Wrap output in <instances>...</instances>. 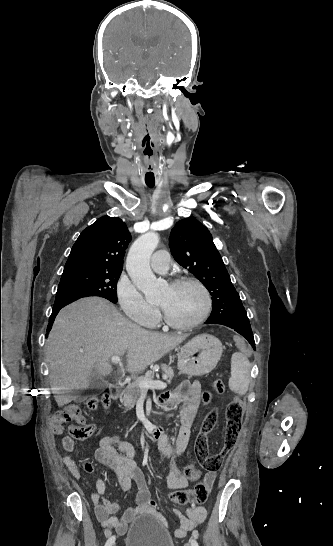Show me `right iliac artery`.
<instances>
[{
    "mask_svg": "<svg viewBox=\"0 0 333 546\" xmlns=\"http://www.w3.org/2000/svg\"><path fill=\"white\" fill-rule=\"evenodd\" d=\"M115 539L116 537L115 536H111L105 543V546H113V544L115 543Z\"/></svg>",
    "mask_w": 333,
    "mask_h": 546,
    "instance_id": "obj_1",
    "label": "right iliac artery"
}]
</instances>
